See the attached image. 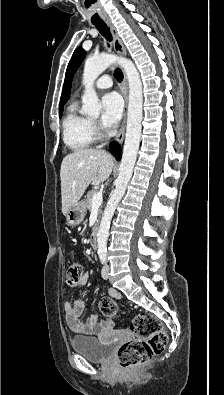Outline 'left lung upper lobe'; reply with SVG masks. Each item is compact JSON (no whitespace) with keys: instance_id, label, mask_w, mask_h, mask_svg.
I'll use <instances>...</instances> for the list:
<instances>
[{"instance_id":"5c2ea615","label":"left lung upper lobe","mask_w":224,"mask_h":395,"mask_svg":"<svg viewBox=\"0 0 224 395\" xmlns=\"http://www.w3.org/2000/svg\"><path fill=\"white\" fill-rule=\"evenodd\" d=\"M84 57L85 51L81 47L75 49L71 61L69 62L65 76V101H67V99L69 98L73 75Z\"/></svg>"}]
</instances>
